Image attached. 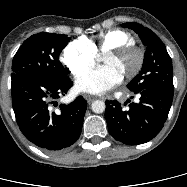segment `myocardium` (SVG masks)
Returning a JSON list of instances; mask_svg holds the SVG:
<instances>
[{"label": "myocardium", "mask_w": 187, "mask_h": 187, "mask_svg": "<svg viewBox=\"0 0 187 187\" xmlns=\"http://www.w3.org/2000/svg\"><path fill=\"white\" fill-rule=\"evenodd\" d=\"M130 52H134L137 55V61L136 64L134 66V68L128 72L127 74H125L123 76L124 79H132L135 76H137L139 74V72L141 71L143 65H144V60H145V54L144 51L142 50V48H140L139 46L135 45V44H123L120 45L118 47H115L109 51H107L104 55H109V56H113V57H121L127 53Z\"/></svg>", "instance_id": "1"}]
</instances>
